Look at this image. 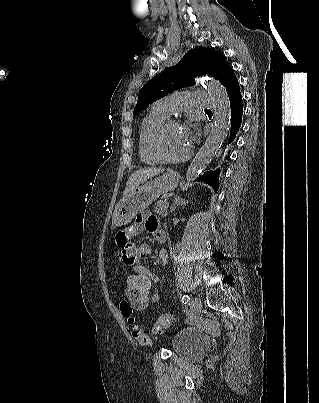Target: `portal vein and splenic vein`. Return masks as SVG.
Masks as SVG:
<instances>
[{
  "mask_svg": "<svg viewBox=\"0 0 319 403\" xmlns=\"http://www.w3.org/2000/svg\"><path fill=\"white\" fill-rule=\"evenodd\" d=\"M164 205L168 206V205H169V202H168V201L164 202Z\"/></svg>",
  "mask_w": 319,
  "mask_h": 403,
  "instance_id": "1",
  "label": "portal vein and splenic vein"
}]
</instances>
